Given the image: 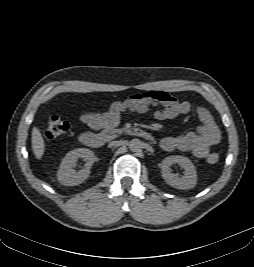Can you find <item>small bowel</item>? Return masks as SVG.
<instances>
[{
    "label": "small bowel",
    "instance_id": "obj_1",
    "mask_svg": "<svg viewBox=\"0 0 254 267\" xmlns=\"http://www.w3.org/2000/svg\"><path fill=\"white\" fill-rule=\"evenodd\" d=\"M150 111H153L155 119L163 121L190 113L192 106L164 91H145L111 103L106 112L85 111L81 115V120L90 129L99 130L117 126L124 112ZM195 113L201 121L197 130L163 138L162 149L169 152L175 150L190 152L195 157L203 158L211 147L220 141V130L211 112L199 106L195 109Z\"/></svg>",
    "mask_w": 254,
    "mask_h": 267
}]
</instances>
